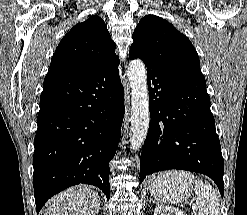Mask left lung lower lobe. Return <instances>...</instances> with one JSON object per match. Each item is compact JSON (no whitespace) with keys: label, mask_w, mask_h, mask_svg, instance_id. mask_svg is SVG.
Here are the masks:
<instances>
[{"label":"left lung lower lobe","mask_w":247,"mask_h":215,"mask_svg":"<svg viewBox=\"0 0 247 215\" xmlns=\"http://www.w3.org/2000/svg\"><path fill=\"white\" fill-rule=\"evenodd\" d=\"M143 61L151 120L140 158V181L162 170H188L209 176L223 197L224 161L205 79Z\"/></svg>","instance_id":"0a47b994"}]
</instances>
